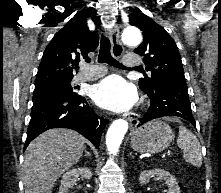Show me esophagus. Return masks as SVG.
I'll use <instances>...</instances> for the list:
<instances>
[{"label":"esophagus","mask_w":221,"mask_h":193,"mask_svg":"<svg viewBox=\"0 0 221 193\" xmlns=\"http://www.w3.org/2000/svg\"><path fill=\"white\" fill-rule=\"evenodd\" d=\"M111 51L112 54L119 58L124 51V47L121 43L119 27L115 25L110 31ZM131 127H136L138 120L132 117L128 118Z\"/></svg>","instance_id":"34e87169"}]
</instances>
